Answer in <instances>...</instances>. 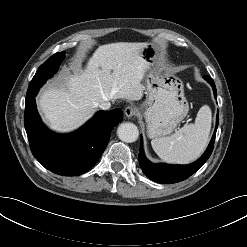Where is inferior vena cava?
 <instances>
[{
    "instance_id": "obj_1",
    "label": "inferior vena cava",
    "mask_w": 247,
    "mask_h": 247,
    "mask_svg": "<svg viewBox=\"0 0 247 247\" xmlns=\"http://www.w3.org/2000/svg\"><path fill=\"white\" fill-rule=\"evenodd\" d=\"M99 108H101L102 110H108L111 107V103L110 102H102L99 105Z\"/></svg>"
}]
</instances>
